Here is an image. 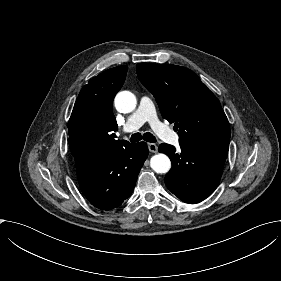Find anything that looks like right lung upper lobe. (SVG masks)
I'll list each match as a JSON object with an SVG mask.
<instances>
[{
    "instance_id": "obj_1",
    "label": "right lung upper lobe",
    "mask_w": 281,
    "mask_h": 281,
    "mask_svg": "<svg viewBox=\"0 0 281 281\" xmlns=\"http://www.w3.org/2000/svg\"><path fill=\"white\" fill-rule=\"evenodd\" d=\"M127 69L119 66L106 70L80 91L68 122L72 156L90 150H114L128 143L114 139L118 128L112 112L113 99L125 81Z\"/></svg>"
}]
</instances>
